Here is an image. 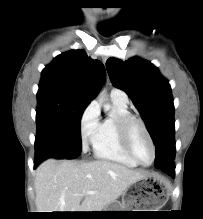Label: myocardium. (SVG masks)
<instances>
[{
	"mask_svg": "<svg viewBox=\"0 0 203 219\" xmlns=\"http://www.w3.org/2000/svg\"><path fill=\"white\" fill-rule=\"evenodd\" d=\"M137 126L142 129V131L144 132L145 136L147 137V139L151 145V148H152L153 158H152L151 162L147 163V164L142 163L137 158V156L135 155L133 148H132V133H133L134 128ZM118 127H119L122 145H123L125 151L127 152V154L129 155V157L140 166L148 167V166L152 165L155 161V158H156V146H155L153 138H152L146 124L140 118L130 114V115L123 116V117L119 118Z\"/></svg>",
	"mask_w": 203,
	"mask_h": 219,
	"instance_id": "myocardium-1",
	"label": "myocardium"
}]
</instances>
